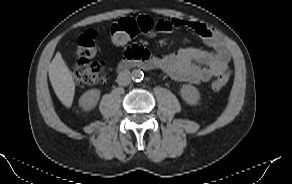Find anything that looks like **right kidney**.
<instances>
[{"mask_svg": "<svg viewBox=\"0 0 292 184\" xmlns=\"http://www.w3.org/2000/svg\"><path fill=\"white\" fill-rule=\"evenodd\" d=\"M100 94L99 89H91L85 92L79 99V105L86 111L93 109L99 101Z\"/></svg>", "mask_w": 292, "mask_h": 184, "instance_id": "1", "label": "right kidney"}]
</instances>
